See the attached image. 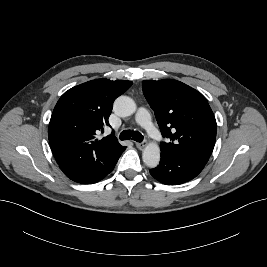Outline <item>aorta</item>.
I'll list each match as a JSON object with an SVG mask.
<instances>
[{
    "mask_svg": "<svg viewBox=\"0 0 267 267\" xmlns=\"http://www.w3.org/2000/svg\"><path fill=\"white\" fill-rule=\"evenodd\" d=\"M115 114L120 117H127L132 115L136 111V103L128 96H119L113 105ZM143 162L149 168H155L160 161V148L157 143H149L142 153Z\"/></svg>",
    "mask_w": 267,
    "mask_h": 267,
    "instance_id": "aorta-1",
    "label": "aorta"
}]
</instances>
